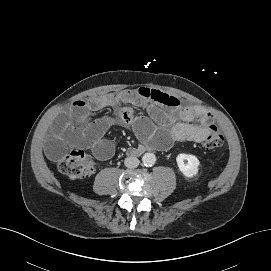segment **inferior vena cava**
<instances>
[{"label":"inferior vena cava","instance_id":"obj_1","mask_svg":"<svg viewBox=\"0 0 271 271\" xmlns=\"http://www.w3.org/2000/svg\"><path fill=\"white\" fill-rule=\"evenodd\" d=\"M139 163V159L133 156L127 157L124 161V164L127 168H136L138 167Z\"/></svg>","mask_w":271,"mask_h":271}]
</instances>
